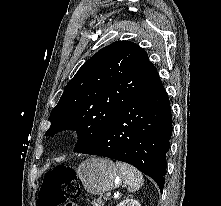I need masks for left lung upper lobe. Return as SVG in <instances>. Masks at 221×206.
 I'll list each match as a JSON object with an SVG mask.
<instances>
[{
    "label": "left lung upper lobe",
    "mask_w": 221,
    "mask_h": 206,
    "mask_svg": "<svg viewBox=\"0 0 221 206\" xmlns=\"http://www.w3.org/2000/svg\"><path fill=\"white\" fill-rule=\"evenodd\" d=\"M159 78L147 53L137 44L117 41L87 60L51 111L46 136L76 130L79 152L113 123L124 108Z\"/></svg>",
    "instance_id": "left-lung-upper-lobe-1"
}]
</instances>
